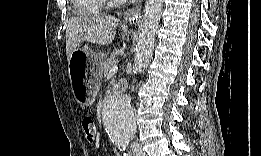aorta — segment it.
<instances>
[{"label": "aorta", "mask_w": 261, "mask_h": 156, "mask_svg": "<svg viewBox=\"0 0 261 156\" xmlns=\"http://www.w3.org/2000/svg\"><path fill=\"white\" fill-rule=\"evenodd\" d=\"M162 11L163 0L146 1L144 21L134 57V69L138 72L146 69L151 61ZM102 121L112 140L127 143L136 132V118L130 96L117 95L108 99L103 106Z\"/></svg>", "instance_id": "obj_1"}]
</instances>
